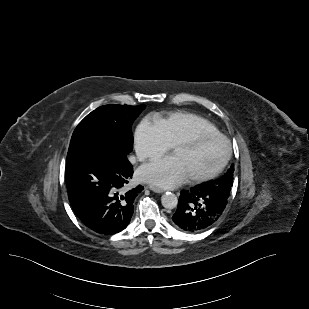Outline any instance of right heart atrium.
I'll return each mask as SVG.
<instances>
[{
  "mask_svg": "<svg viewBox=\"0 0 309 309\" xmlns=\"http://www.w3.org/2000/svg\"><path fill=\"white\" fill-rule=\"evenodd\" d=\"M134 147L139 161L154 160L170 148L160 126L149 118H144L134 132Z\"/></svg>",
  "mask_w": 309,
  "mask_h": 309,
  "instance_id": "obj_1",
  "label": "right heart atrium"
}]
</instances>
